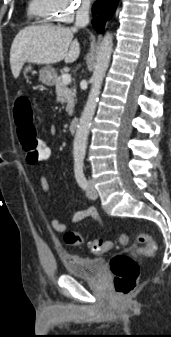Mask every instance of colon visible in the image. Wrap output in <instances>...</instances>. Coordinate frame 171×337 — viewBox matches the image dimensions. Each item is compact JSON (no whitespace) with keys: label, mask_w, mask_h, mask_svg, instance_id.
<instances>
[{"label":"colon","mask_w":171,"mask_h":337,"mask_svg":"<svg viewBox=\"0 0 171 337\" xmlns=\"http://www.w3.org/2000/svg\"><path fill=\"white\" fill-rule=\"evenodd\" d=\"M14 115L18 138L27 163L32 165L39 161H48L49 156L53 155L52 144L47 143L46 137H38L31 104L26 96H20L15 101ZM136 239L141 244L136 253L117 254L110 262L114 289L120 296L131 294L136 287L140 274L136 254H152L157 249L155 240L147 233H138ZM64 240L72 246H79L83 243L82 235L74 231L65 232ZM129 242L130 235L123 232L118 234L115 240H92L88 246L93 253L101 254L109 251L115 244L126 246Z\"/></svg>","instance_id":"5ec220e1"}]
</instances>
